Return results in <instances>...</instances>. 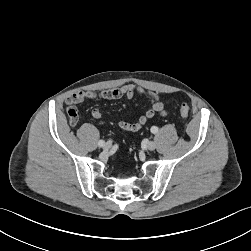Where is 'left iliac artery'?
I'll use <instances>...</instances> for the list:
<instances>
[{
    "label": "left iliac artery",
    "mask_w": 251,
    "mask_h": 251,
    "mask_svg": "<svg viewBox=\"0 0 251 251\" xmlns=\"http://www.w3.org/2000/svg\"><path fill=\"white\" fill-rule=\"evenodd\" d=\"M150 130L153 134H156L158 132V127L152 126Z\"/></svg>",
    "instance_id": "1"
}]
</instances>
